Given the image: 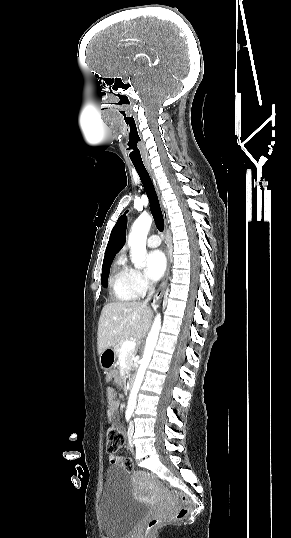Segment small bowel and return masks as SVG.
I'll use <instances>...</instances> for the list:
<instances>
[{
	"label": "small bowel",
	"mask_w": 291,
	"mask_h": 538,
	"mask_svg": "<svg viewBox=\"0 0 291 538\" xmlns=\"http://www.w3.org/2000/svg\"><path fill=\"white\" fill-rule=\"evenodd\" d=\"M114 380L117 384H121L122 381L119 377L116 376H109L107 378L108 381ZM106 395L108 400V414L111 418H115L118 410V403L115 397L114 389L112 387H108L106 389ZM122 460V457L120 456H110L109 461L112 465H117Z\"/></svg>",
	"instance_id": "1"
}]
</instances>
